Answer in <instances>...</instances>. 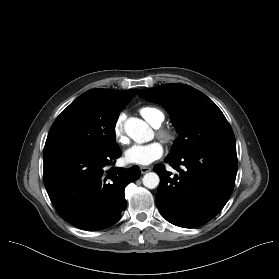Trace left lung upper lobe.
<instances>
[{
    "instance_id": "1",
    "label": "left lung upper lobe",
    "mask_w": 279,
    "mask_h": 279,
    "mask_svg": "<svg viewBox=\"0 0 279 279\" xmlns=\"http://www.w3.org/2000/svg\"><path fill=\"white\" fill-rule=\"evenodd\" d=\"M151 102L162 104L180 135L170 156H180L193 149L215 145L236 144L234 133L218 106L205 94L185 84H164L139 91Z\"/></svg>"
}]
</instances>
